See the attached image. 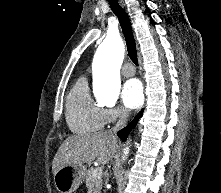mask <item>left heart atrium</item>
Segmentation results:
<instances>
[{"label": "left heart atrium", "mask_w": 221, "mask_h": 193, "mask_svg": "<svg viewBox=\"0 0 221 193\" xmlns=\"http://www.w3.org/2000/svg\"><path fill=\"white\" fill-rule=\"evenodd\" d=\"M121 99L123 104L130 109L140 107L143 102L141 83L137 79L127 81L122 89Z\"/></svg>", "instance_id": "1"}]
</instances>
